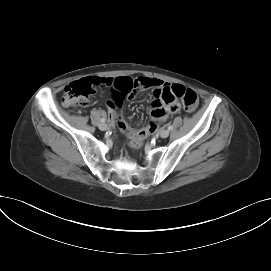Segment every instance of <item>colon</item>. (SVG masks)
<instances>
[{
	"label": "colon",
	"mask_w": 271,
	"mask_h": 271,
	"mask_svg": "<svg viewBox=\"0 0 271 271\" xmlns=\"http://www.w3.org/2000/svg\"><path fill=\"white\" fill-rule=\"evenodd\" d=\"M99 79L85 78L78 81H74L67 85L64 89L62 104L67 107H83L88 104L89 97L96 93V83ZM162 99L166 104H172L177 100H180L184 108L192 112L198 105L197 93L190 89L185 88L182 85L174 84L168 88H165L162 92ZM154 123L150 124L147 128L141 130L138 136V142L144 140L148 134L154 131Z\"/></svg>",
	"instance_id": "colon-1"
}]
</instances>
